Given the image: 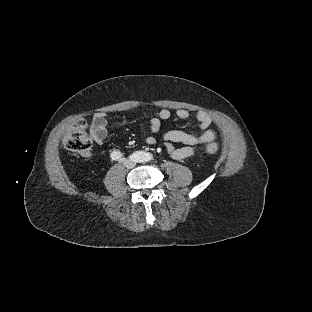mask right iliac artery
Masks as SVG:
<instances>
[{
  "label": "right iliac artery",
  "mask_w": 312,
  "mask_h": 312,
  "mask_svg": "<svg viewBox=\"0 0 312 312\" xmlns=\"http://www.w3.org/2000/svg\"><path fill=\"white\" fill-rule=\"evenodd\" d=\"M110 156H111V158H112L113 160H117V159L121 158L122 154H121L120 151L114 150V151L111 153ZM130 159L133 160V161H135V162H140L139 159H138V156L135 155V154H134L133 156H130Z\"/></svg>",
  "instance_id": "obj_1"
}]
</instances>
